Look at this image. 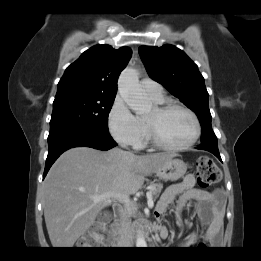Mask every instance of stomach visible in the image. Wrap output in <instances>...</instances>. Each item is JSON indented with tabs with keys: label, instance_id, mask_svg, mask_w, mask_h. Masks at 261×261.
Wrapping results in <instances>:
<instances>
[{
	"label": "stomach",
	"instance_id": "obj_1",
	"mask_svg": "<svg viewBox=\"0 0 261 261\" xmlns=\"http://www.w3.org/2000/svg\"><path fill=\"white\" fill-rule=\"evenodd\" d=\"M187 170V165L182 159L169 158L156 170V175L163 180L175 181L184 176Z\"/></svg>",
	"mask_w": 261,
	"mask_h": 261
}]
</instances>
